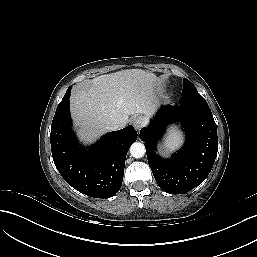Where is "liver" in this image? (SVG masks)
Here are the masks:
<instances>
[{"label": "liver", "instance_id": "obj_1", "mask_svg": "<svg viewBox=\"0 0 257 257\" xmlns=\"http://www.w3.org/2000/svg\"><path fill=\"white\" fill-rule=\"evenodd\" d=\"M156 80L152 73L128 69L96 77L76 90L70 106L81 139L90 142L110 124L127 122L129 115H152Z\"/></svg>", "mask_w": 257, "mask_h": 257}]
</instances>
